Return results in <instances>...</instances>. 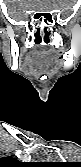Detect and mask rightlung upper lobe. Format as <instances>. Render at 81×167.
<instances>
[{
	"instance_id": "right-lung-upper-lobe-1",
	"label": "right lung upper lobe",
	"mask_w": 81,
	"mask_h": 167,
	"mask_svg": "<svg viewBox=\"0 0 81 167\" xmlns=\"http://www.w3.org/2000/svg\"><path fill=\"white\" fill-rule=\"evenodd\" d=\"M2 161L5 166L15 167L22 165L18 160L12 157H4L2 158Z\"/></svg>"
}]
</instances>
